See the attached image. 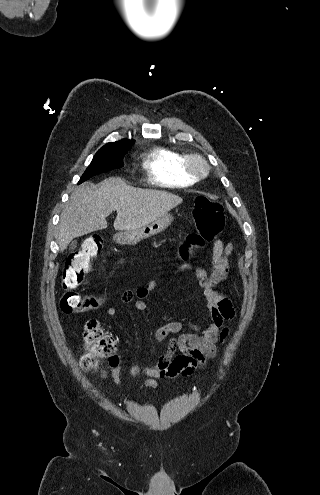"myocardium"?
Segmentation results:
<instances>
[{"label": "myocardium", "mask_w": 320, "mask_h": 495, "mask_svg": "<svg viewBox=\"0 0 320 495\" xmlns=\"http://www.w3.org/2000/svg\"><path fill=\"white\" fill-rule=\"evenodd\" d=\"M184 169L195 179L205 177L210 170L208 161L199 153H190L185 155Z\"/></svg>", "instance_id": "f54148a6"}]
</instances>
